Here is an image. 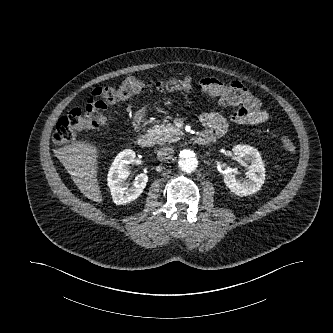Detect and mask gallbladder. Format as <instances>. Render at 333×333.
I'll return each instance as SVG.
<instances>
[{
    "mask_svg": "<svg viewBox=\"0 0 333 333\" xmlns=\"http://www.w3.org/2000/svg\"><path fill=\"white\" fill-rule=\"evenodd\" d=\"M98 115H99V117H98L97 121H98L100 124H106V122H107L106 117H105L104 115L100 114V113H99Z\"/></svg>",
    "mask_w": 333,
    "mask_h": 333,
    "instance_id": "1",
    "label": "gallbladder"
}]
</instances>
